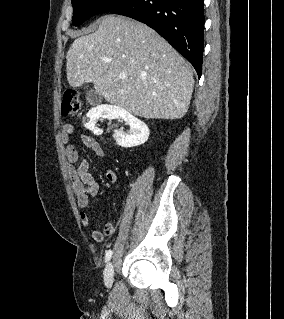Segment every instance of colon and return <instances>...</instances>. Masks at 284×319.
<instances>
[{"instance_id":"obj_1","label":"colon","mask_w":284,"mask_h":319,"mask_svg":"<svg viewBox=\"0 0 284 319\" xmlns=\"http://www.w3.org/2000/svg\"><path fill=\"white\" fill-rule=\"evenodd\" d=\"M81 109L80 99L73 90L64 92L61 100V116L63 119H69L79 114Z\"/></svg>"}]
</instances>
